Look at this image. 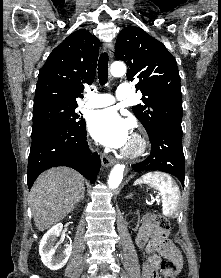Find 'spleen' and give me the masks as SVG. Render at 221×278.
<instances>
[{
  "label": "spleen",
  "mask_w": 221,
  "mask_h": 278,
  "mask_svg": "<svg viewBox=\"0 0 221 278\" xmlns=\"http://www.w3.org/2000/svg\"><path fill=\"white\" fill-rule=\"evenodd\" d=\"M147 184L160 192L162 196V213L164 216L175 218L180 201L179 187L173 179L161 172H148L135 181L137 184Z\"/></svg>",
  "instance_id": "1"
}]
</instances>
